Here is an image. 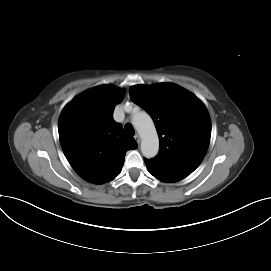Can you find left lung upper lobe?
<instances>
[{
    "mask_svg": "<svg viewBox=\"0 0 271 271\" xmlns=\"http://www.w3.org/2000/svg\"><path fill=\"white\" fill-rule=\"evenodd\" d=\"M129 94L157 128L160 150L153 160L194 171L210 142L211 122L204 104L172 83L133 86Z\"/></svg>",
    "mask_w": 271,
    "mask_h": 271,
    "instance_id": "obj_1",
    "label": "left lung upper lobe"
}]
</instances>
